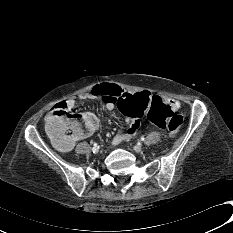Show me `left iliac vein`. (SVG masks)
Returning <instances> with one entry per match:
<instances>
[{"label":"left iliac vein","instance_id":"1","mask_svg":"<svg viewBox=\"0 0 233 233\" xmlns=\"http://www.w3.org/2000/svg\"><path fill=\"white\" fill-rule=\"evenodd\" d=\"M133 149H134L135 152H138V153L143 151L142 147L139 146V145L134 146Z\"/></svg>","mask_w":233,"mask_h":233}]
</instances>
